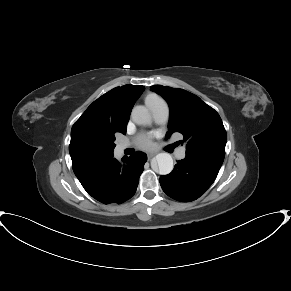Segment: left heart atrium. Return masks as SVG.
I'll use <instances>...</instances> for the list:
<instances>
[{
    "label": "left heart atrium",
    "mask_w": 291,
    "mask_h": 291,
    "mask_svg": "<svg viewBox=\"0 0 291 291\" xmlns=\"http://www.w3.org/2000/svg\"><path fill=\"white\" fill-rule=\"evenodd\" d=\"M139 139H140L141 146H143V147H149L151 145L150 138L147 135H141L139 137Z\"/></svg>",
    "instance_id": "left-heart-atrium-1"
}]
</instances>
